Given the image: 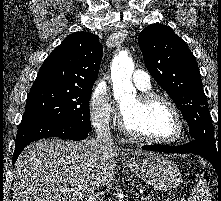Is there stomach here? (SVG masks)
<instances>
[{"label":"stomach","instance_id":"1","mask_svg":"<svg viewBox=\"0 0 221 201\" xmlns=\"http://www.w3.org/2000/svg\"><path fill=\"white\" fill-rule=\"evenodd\" d=\"M128 168L148 185L159 191H169L181 182V172L170 159L158 153L127 164Z\"/></svg>","mask_w":221,"mask_h":201}]
</instances>
